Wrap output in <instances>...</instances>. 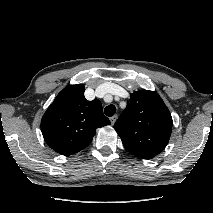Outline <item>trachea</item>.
Wrapping results in <instances>:
<instances>
[{"label":"trachea","instance_id":"obj_1","mask_svg":"<svg viewBox=\"0 0 213 213\" xmlns=\"http://www.w3.org/2000/svg\"><path fill=\"white\" fill-rule=\"evenodd\" d=\"M104 113L106 116L111 117L116 113V107L112 104L108 105L107 107H105Z\"/></svg>","mask_w":213,"mask_h":213}]
</instances>
